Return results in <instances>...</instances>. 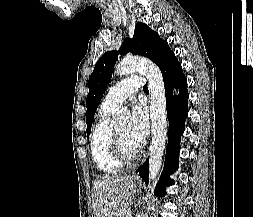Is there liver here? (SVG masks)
Wrapping results in <instances>:
<instances>
[{"label": "liver", "instance_id": "1", "mask_svg": "<svg viewBox=\"0 0 253 217\" xmlns=\"http://www.w3.org/2000/svg\"><path fill=\"white\" fill-rule=\"evenodd\" d=\"M136 189L133 176L112 174L93 182L92 208L95 217H124Z\"/></svg>", "mask_w": 253, "mask_h": 217}]
</instances>
